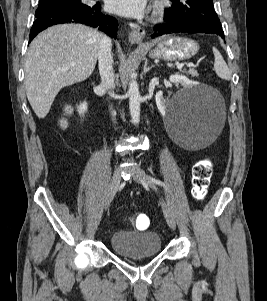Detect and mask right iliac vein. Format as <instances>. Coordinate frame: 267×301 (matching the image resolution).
I'll list each match as a JSON object with an SVG mask.
<instances>
[{
	"label": "right iliac vein",
	"instance_id": "obj_1",
	"mask_svg": "<svg viewBox=\"0 0 267 301\" xmlns=\"http://www.w3.org/2000/svg\"><path fill=\"white\" fill-rule=\"evenodd\" d=\"M120 181H121V171L120 169H117L112 178L111 181L109 183V186L106 190L105 193V209H107L109 207L110 204H108L115 196L118 187L120 185Z\"/></svg>",
	"mask_w": 267,
	"mask_h": 301
}]
</instances>
